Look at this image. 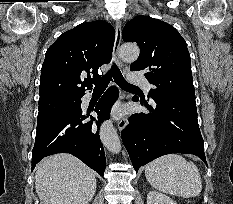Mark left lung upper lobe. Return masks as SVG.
<instances>
[{
	"label": "left lung upper lobe",
	"instance_id": "left-lung-upper-lobe-1",
	"mask_svg": "<svg viewBox=\"0 0 233 204\" xmlns=\"http://www.w3.org/2000/svg\"><path fill=\"white\" fill-rule=\"evenodd\" d=\"M125 42L140 47L138 59L131 71L144 70L147 80L155 87L150 96L161 95L195 99L191 60L185 40L171 25L148 16H137L123 29Z\"/></svg>",
	"mask_w": 233,
	"mask_h": 204
}]
</instances>
